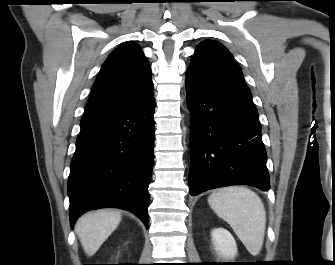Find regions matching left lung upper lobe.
<instances>
[{"mask_svg": "<svg viewBox=\"0 0 335 265\" xmlns=\"http://www.w3.org/2000/svg\"><path fill=\"white\" fill-rule=\"evenodd\" d=\"M188 69L200 74L213 84L251 97L239 65L220 43L209 40L200 43Z\"/></svg>", "mask_w": 335, "mask_h": 265, "instance_id": "5c2ea615", "label": "left lung upper lobe"}]
</instances>
